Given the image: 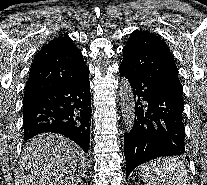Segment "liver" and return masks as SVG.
<instances>
[{"mask_svg": "<svg viewBox=\"0 0 207 185\" xmlns=\"http://www.w3.org/2000/svg\"><path fill=\"white\" fill-rule=\"evenodd\" d=\"M84 151L58 133L29 139L20 157L19 185H79L87 169Z\"/></svg>", "mask_w": 207, "mask_h": 185, "instance_id": "6515ba94", "label": "liver"}]
</instances>
